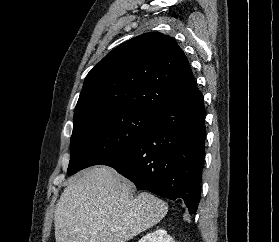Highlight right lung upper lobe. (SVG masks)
I'll list each match as a JSON object with an SVG mask.
<instances>
[{
	"label": "right lung upper lobe",
	"mask_w": 279,
	"mask_h": 242,
	"mask_svg": "<svg viewBox=\"0 0 279 242\" xmlns=\"http://www.w3.org/2000/svg\"><path fill=\"white\" fill-rule=\"evenodd\" d=\"M201 95L176 41L151 32L121 44L88 73L74 118L118 109L158 113Z\"/></svg>",
	"instance_id": "right-lung-upper-lobe-1"
}]
</instances>
